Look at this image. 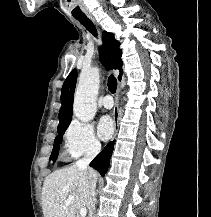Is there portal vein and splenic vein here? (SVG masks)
Wrapping results in <instances>:
<instances>
[{
    "label": "portal vein and splenic vein",
    "mask_w": 211,
    "mask_h": 217,
    "mask_svg": "<svg viewBox=\"0 0 211 217\" xmlns=\"http://www.w3.org/2000/svg\"><path fill=\"white\" fill-rule=\"evenodd\" d=\"M74 199H75L74 196H70V197L66 200L65 206H63V208H64V209L67 208V207L69 206V204H70ZM86 214H87L86 208H81V210H80V215H81V217H85Z\"/></svg>",
    "instance_id": "18ae733b"
}]
</instances>
